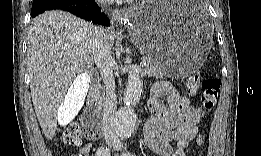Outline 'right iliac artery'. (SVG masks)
<instances>
[{
	"label": "right iliac artery",
	"mask_w": 261,
	"mask_h": 156,
	"mask_svg": "<svg viewBox=\"0 0 261 156\" xmlns=\"http://www.w3.org/2000/svg\"><path fill=\"white\" fill-rule=\"evenodd\" d=\"M96 155L97 156H109L110 151L107 147H100V148H98Z\"/></svg>",
	"instance_id": "82829eb1"
}]
</instances>
